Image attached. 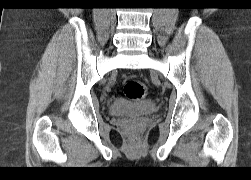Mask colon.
Masks as SVG:
<instances>
[{"mask_svg":"<svg viewBox=\"0 0 251 180\" xmlns=\"http://www.w3.org/2000/svg\"><path fill=\"white\" fill-rule=\"evenodd\" d=\"M124 94L131 100H141L147 96V86L138 80H129L124 85Z\"/></svg>","mask_w":251,"mask_h":180,"instance_id":"obj_1","label":"colon"}]
</instances>
